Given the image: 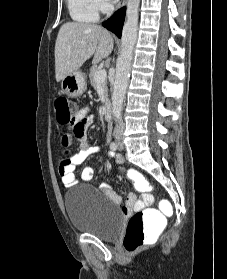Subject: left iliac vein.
I'll list each match as a JSON object with an SVG mask.
<instances>
[{
	"mask_svg": "<svg viewBox=\"0 0 227 279\" xmlns=\"http://www.w3.org/2000/svg\"><path fill=\"white\" fill-rule=\"evenodd\" d=\"M118 149H119V150H122V149H123V144H122L121 141H119V143H118Z\"/></svg>",
	"mask_w": 227,
	"mask_h": 279,
	"instance_id": "obj_1",
	"label": "left iliac vein"
}]
</instances>
